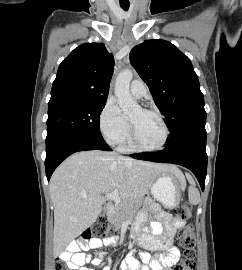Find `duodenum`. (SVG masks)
Masks as SVG:
<instances>
[{
	"label": "duodenum",
	"instance_id": "410a0bca",
	"mask_svg": "<svg viewBox=\"0 0 242 270\" xmlns=\"http://www.w3.org/2000/svg\"><path fill=\"white\" fill-rule=\"evenodd\" d=\"M113 211L114 209L112 206L108 207L106 210V216L110 217L113 214Z\"/></svg>",
	"mask_w": 242,
	"mask_h": 270
}]
</instances>
